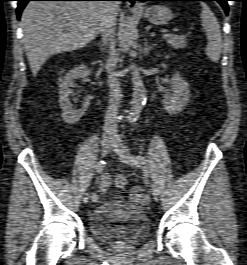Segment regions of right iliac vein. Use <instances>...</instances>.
Listing matches in <instances>:
<instances>
[{"label":"right iliac vein","instance_id":"63e3f726","mask_svg":"<svg viewBox=\"0 0 247 265\" xmlns=\"http://www.w3.org/2000/svg\"><path fill=\"white\" fill-rule=\"evenodd\" d=\"M114 145V140L111 138H104L101 142V154L102 156H106L109 151L112 149ZM89 200L88 194H86L83 198V202L87 203Z\"/></svg>","mask_w":247,"mask_h":265}]
</instances>
